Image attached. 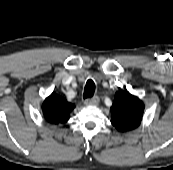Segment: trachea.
<instances>
[{
	"label": "trachea",
	"mask_w": 173,
	"mask_h": 170,
	"mask_svg": "<svg viewBox=\"0 0 173 170\" xmlns=\"http://www.w3.org/2000/svg\"><path fill=\"white\" fill-rule=\"evenodd\" d=\"M95 92V83L93 80L89 79L86 82L85 88H84V94L83 98H91L94 95Z\"/></svg>",
	"instance_id": "obj_1"
}]
</instances>
